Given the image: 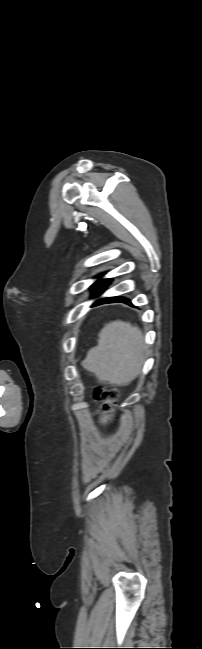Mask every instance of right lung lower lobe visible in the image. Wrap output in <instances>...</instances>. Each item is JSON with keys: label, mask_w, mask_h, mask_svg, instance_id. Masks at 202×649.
Segmentation results:
<instances>
[{"label": "right lung lower lobe", "mask_w": 202, "mask_h": 649, "mask_svg": "<svg viewBox=\"0 0 202 649\" xmlns=\"http://www.w3.org/2000/svg\"><path fill=\"white\" fill-rule=\"evenodd\" d=\"M109 283H110V279H101V280H98L97 282H95L91 286V289L93 291V297H97L102 292V290H104L105 287L107 285H109ZM112 302H122V303H126V304H131V302L127 298H124V297H112V298L101 299V300L98 301V304L112 303Z\"/></svg>", "instance_id": "98d812e1"}]
</instances>
